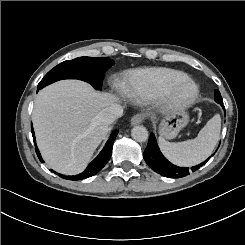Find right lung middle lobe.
Segmentation results:
<instances>
[{"label":"right lung middle lobe","instance_id":"obj_1","mask_svg":"<svg viewBox=\"0 0 245 245\" xmlns=\"http://www.w3.org/2000/svg\"><path fill=\"white\" fill-rule=\"evenodd\" d=\"M114 61L106 57H79L64 61L50 70L38 85V90L61 79H80L101 89L105 71Z\"/></svg>","mask_w":245,"mask_h":245}]
</instances>
